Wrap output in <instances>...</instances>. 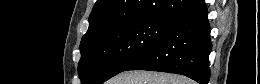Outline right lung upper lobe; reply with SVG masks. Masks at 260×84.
Instances as JSON below:
<instances>
[{
	"label": "right lung upper lobe",
	"instance_id": "1",
	"mask_svg": "<svg viewBox=\"0 0 260 84\" xmlns=\"http://www.w3.org/2000/svg\"><path fill=\"white\" fill-rule=\"evenodd\" d=\"M204 0H97L89 16V28L81 45L107 31L142 19L171 22L198 8Z\"/></svg>",
	"mask_w": 260,
	"mask_h": 84
}]
</instances>
